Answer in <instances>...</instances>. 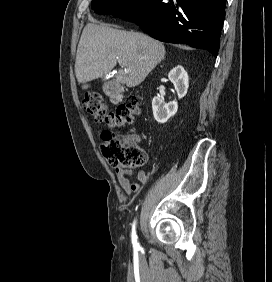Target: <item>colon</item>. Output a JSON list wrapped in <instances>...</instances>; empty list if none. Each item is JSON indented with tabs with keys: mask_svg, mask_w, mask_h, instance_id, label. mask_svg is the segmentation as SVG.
Listing matches in <instances>:
<instances>
[{
	"mask_svg": "<svg viewBox=\"0 0 272 282\" xmlns=\"http://www.w3.org/2000/svg\"><path fill=\"white\" fill-rule=\"evenodd\" d=\"M85 110L96 120L111 128H123L130 125L139 112L136 97L128 98L116 109L112 110L99 93L89 92L83 98ZM102 153L109 165L115 169L132 170L142 166L146 161V153L129 138L113 130H105L100 134Z\"/></svg>",
	"mask_w": 272,
	"mask_h": 282,
	"instance_id": "obj_1",
	"label": "colon"
}]
</instances>
